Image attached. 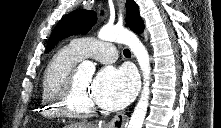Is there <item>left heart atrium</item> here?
<instances>
[{"label":"left heart atrium","instance_id":"39dd6f15","mask_svg":"<svg viewBox=\"0 0 221 128\" xmlns=\"http://www.w3.org/2000/svg\"><path fill=\"white\" fill-rule=\"evenodd\" d=\"M137 89L138 81L132 71L107 66L93 79L89 94L98 107L113 111L130 103Z\"/></svg>","mask_w":221,"mask_h":128}]
</instances>
